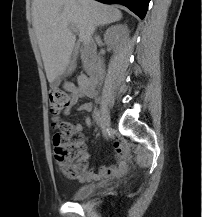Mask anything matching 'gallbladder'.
I'll use <instances>...</instances> for the list:
<instances>
[{
	"label": "gallbladder",
	"mask_w": 202,
	"mask_h": 217,
	"mask_svg": "<svg viewBox=\"0 0 202 217\" xmlns=\"http://www.w3.org/2000/svg\"><path fill=\"white\" fill-rule=\"evenodd\" d=\"M75 68H76V54L73 53L71 55L70 62L66 66L64 72L51 83V87H57L60 84L62 79L70 76L73 73Z\"/></svg>",
	"instance_id": "bac80fb5"
}]
</instances>
